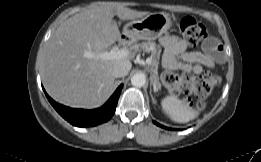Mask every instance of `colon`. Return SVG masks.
<instances>
[{
  "label": "colon",
  "instance_id": "obj_1",
  "mask_svg": "<svg viewBox=\"0 0 261 162\" xmlns=\"http://www.w3.org/2000/svg\"><path fill=\"white\" fill-rule=\"evenodd\" d=\"M180 32L189 44H196L207 36L206 27L192 17H184L179 24ZM220 76L213 71H205L200 75L176 74L167 72L163 75V83L168 92L194 96L197 99L196 107L203 109L204 101L213 88L220 83Z\"/></svg>",
  "mask_w": 261,
  "mask_h": 162
}]
</instances>
